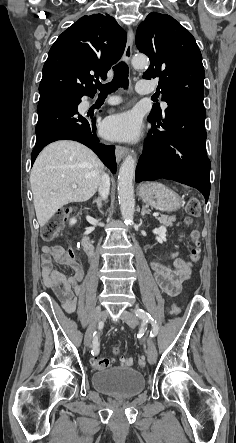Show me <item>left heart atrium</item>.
Listing matches in <instances>:
<instances>
[{
	"instance_id": "1",
	"label": "left heart atrium",
	"mask_w": 236,
	"mask_h": 443,
	"mask_svg": "<svg viewBox=\"0 0 236 443\" xmlns=\"http://www.w3.org/2000/svg\"><path fill=\"white\" fill-rule=\"evenodd\" d=\"M103 131L110 139L134 141L141 133L140 119L131 111L112 115L105 120Z\"/></svg>"
}]
</instances>
